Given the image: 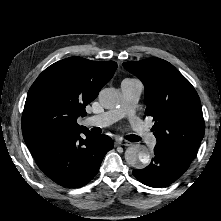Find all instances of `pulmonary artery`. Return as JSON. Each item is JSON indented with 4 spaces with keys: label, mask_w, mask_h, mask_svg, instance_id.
Returning <instances> with one entry per match:
<instances>
[{
    "label": "pulmonary artery",
    "mask_w": 221,
    "mask_h": 221,
    "mask_svg": "<svg viewBox=\"0 0 221 221\" xmlns=\"http://www.w3.org/2000/svg\"><path fill=\"white\" fill-rule=\"evenodd\" d=\"M120 89L122 94L121 107L87 117L84 120V125L105 127L125 116H132L134 108L140 99L143 85L138 80L125 79L121 82ZM132 127L145 143L149 144L153 141L152 133L140 119L134 118Z\"/></svg>",
    "instance_id": "e3ab8cb5"
}]
</instances>
